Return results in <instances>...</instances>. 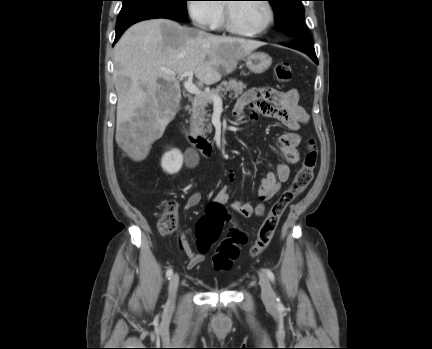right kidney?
Segmentation results:
<instances>
[{"instance_id": "ca27d5eb", "label": "right kidney", "mask_w": 432, "mask_h": 349, "mask_svg": "<svg viewBox=\"0 0 432 349\" xmlns=\"http://www.w3.org/2000/svg\"><path fill=\"white\" fill-rule=\"evenodd\" d=\"M182 165L183 155L178 149H172L162 156L161 166L168 174H175L179 172Z\"/></svg>"}]
</instances>
